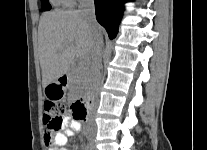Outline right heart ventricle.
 <instances>
[{"mask_svg":"<svg viewBox=\"0 0 207 150\" xmlns=\"http://www.w3.org/2000/svg\"><path fill=\"white\" fill-rule=\"evenodd\" d=\"M52 2L56 6H69L72 4L70 0H52Z\"/></svg>","mask_w":207,"mask_h":150,"instance_id":"e07e8e85","label":"right heart ventricle"}]
</instances>
